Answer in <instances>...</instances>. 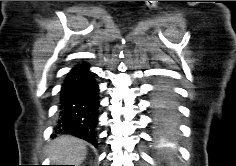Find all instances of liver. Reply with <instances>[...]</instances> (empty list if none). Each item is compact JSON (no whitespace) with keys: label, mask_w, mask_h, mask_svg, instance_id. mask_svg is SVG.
I'll list each match as a JSON object with an SVG mask.
<instances>
[{"label":"liver","mask_w":236,"mask_h":166,"mask_svg":"<svg viewBox=\"0 0 236 166\" xmlns=\"http://www.w3.org/2000/svg\"><path fill=\"white\" fill-rule=\"evenodd\" d=\"M48 155L56 165L78 166L85 159L86 146L75 137L60 136L52 141Z\"/></svg>","instance_id":"1"}]
</instances>
